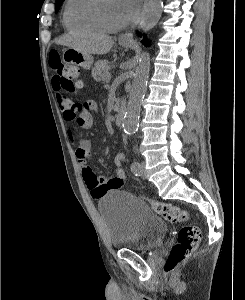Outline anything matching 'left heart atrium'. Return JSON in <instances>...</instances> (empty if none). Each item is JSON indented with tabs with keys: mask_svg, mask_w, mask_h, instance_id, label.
<instances>
[{
	"mask_svg": "<svg viewBox=\"0 0 245 300\" xmlns=\"http://www.w3.org/2000/svg\"><path fill=\"white\" fill-rule=\"evenodd\" d=\"M126 8L129 18L133 17L136 13L137 7L141 0H121Z\"/></svg>",
	"mask_w": 245,
	"mask_h": 300,
	"instance_id": "left-heart-atrium-1",
	"label": "left heart atrium"
}]
</instances>
